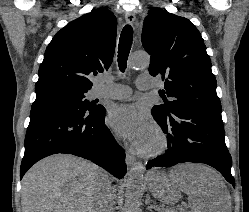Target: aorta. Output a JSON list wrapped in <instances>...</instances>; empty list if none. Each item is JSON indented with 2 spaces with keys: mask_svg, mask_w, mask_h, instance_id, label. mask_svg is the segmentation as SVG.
I'll return each mask as SVG.
<instances>
[{
  "mask_svg": "<svg viewBox=\"0 0 249 212\" xmlns=\"http://www.w3.org/2000/svg\"><path fill=\"white\" fill-rule=\"evenodd\" d=\"M150 56L145 52H135L130 58L128 65L131 69L148 66ZM144 166L135 165L130 169L126 182L125 212H138L143 195Z\"/></svg>",
  "mask_w": 249,
  "mask_h": 212,
  "instance_id": "obj_1",
  "label": "aorta"
}]
</instances>
